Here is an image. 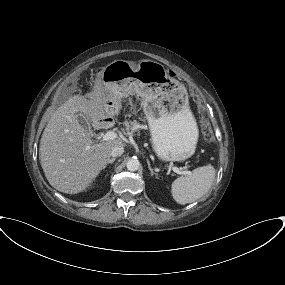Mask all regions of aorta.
I'll return each instance as SVG.
<instances>
[{
	"label": "aorta",
	"mask_w": 285,
	"mask_h": 285,
	"mask_svg": "<svg viewBox=\"0 0 285 285\" xmlns=\"http://www.w3.org/2000/svg\"><path fill=\"white\" fill-rule=\"evenodd\" d=\"M126 167L129 171H137L140 167V162L136 158H131L127 161Z\"/></svg>",
	"instance_id": "1"
}]
</instances>
